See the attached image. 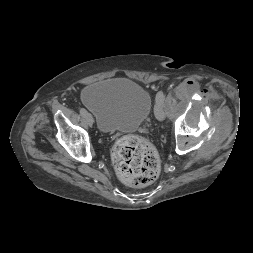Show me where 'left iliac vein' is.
Wrapping results in <instances>:
<instances>
[{"instance_id": "obj_1", "label": "left iliac vein", "mask_w": 253, "mask_h": 253, "mask_svg": "<svg viewBox=\"0 0 253 253\" xmlns=\"http://www.w3.org/2000/svg\"><path fill=\"white\" fill-rule=\"evenodd\" d=\"M154 114L159 121H163L165 118V107L162 102L156 103L154 107Z\"/></svg>"}]
</instances>
